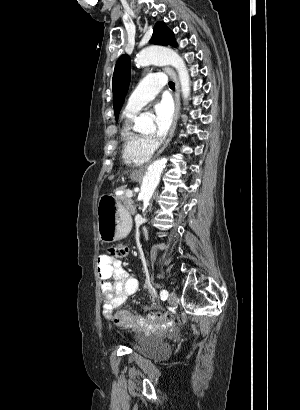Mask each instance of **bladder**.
Here are the masks:
<instances>
[{
    "label": "bladder",
    "instance_id": "bladder-1",
    "mask_svg": "<svg viewBox=\"0 0 300 410\" xmlns=\"http://www.w3.org/2000/svg\"><path fill=\"white\" fill-rule=\"evenodd\" d=\"M133 350L140 355L148 357H157L170 352V347L164 342H153L149 344H137Z\"/></svg>",
    "mask_w": 300,
    "mask_h": 410
}]
</instances>
